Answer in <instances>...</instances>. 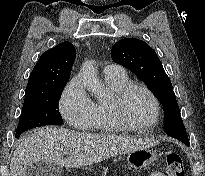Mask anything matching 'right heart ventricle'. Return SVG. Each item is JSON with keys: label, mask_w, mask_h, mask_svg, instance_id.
Wrapping results in <instances>:
<instances>
[{"label": "right heart ventricle", "mask_w": 205, "mask_h": 176, "mask_svg": "<svg viewBox=\"0 0 205 176\" xmlns=\"http://www.w3.org/2000/svg\"><path fill=\"white\" fill-rule=\"evenodd\" d=\"M105 82L114 95L130 83L126 74L105 75ZM113 98L108 101L98 99L94 102V116L90 129L99 135H111L123 130L113 114Z\"/></svg>", "instance_id": "obj_1"}]
</instances>
